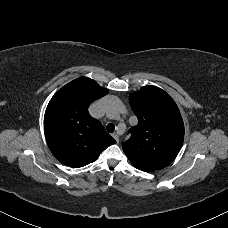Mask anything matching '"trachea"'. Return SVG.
Wrapping results in <instances>:
<instances>
[{
	"mask_svg": "<svg viewBox=\"0 0 228 228\" xmlns=\"http://www.w3.org/2000/svg\"><path fill=\"white\" fill-rule=\"evenodd\" d=\"M106 129L109 133H112L115 130V125L110 123L107 125Z\"/></svg>",
	"mask_w": 228,
	"mask_h": 228,
	"instance_id": "3493384b",
	"label": "trachea"
}]
</instances>
